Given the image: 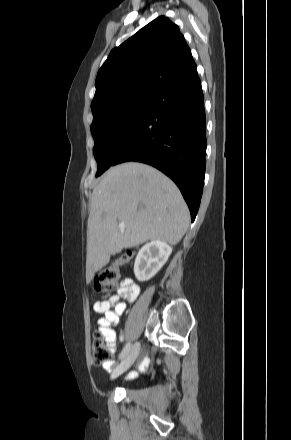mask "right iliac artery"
<instances>
[{
    "label": "right iliac artery",
    "instance_id": "1",
    "mask_svg": "<svg viewBox=\"0 0 291 440\" xmlns=\"http://www.w3.org/2000/svg\"><path fill=\"white\" fill-rule=\"evenodd\" d=\"M130 348H131V344L130 343L126 344L119 356V359H123L124 357H126L130 351Z\"/></svg>",
    "mask_w": 291,
    "mask_h": 440
}]
</instances>
